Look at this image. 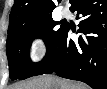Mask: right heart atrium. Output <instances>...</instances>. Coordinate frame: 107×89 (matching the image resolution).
I'll use <instances>...</instances> for the list:
<instances>
[{"label": "right heart atrium", "mask_w": 107, "mask_h": 89, "mask_svg": "<svg viewBox=\"0 0 107 89\" xmlns=\"http://www.w3.org/2000/svg\"><path fill=\"white\" fill-rule=\"evenodd\" d=\"M47 43L42 36H34L28 44V54L32 61L40 60L46 53Z\"/></svg>", "instance_id": "obj_1"}]
</instances>
